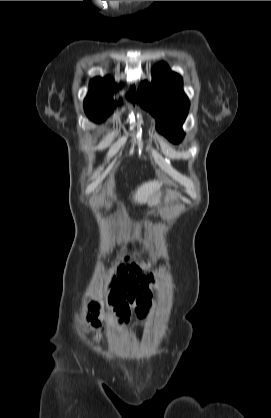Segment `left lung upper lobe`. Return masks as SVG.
I'll list each match as a JSON object with an SVG mask.
<instances>
[{"label":"left lung upper lobe","instance_id":"obj_1","mask_svg":"<svg viewBox=\"0 0 271 418\" xmlns=\"http://www.w3.org/2000/svg\"><path fill=\"white\" fill-rule=\"evenodd\" d=\"M152 74L151 83L141 84L138 100L157 119L158 131L171 142L179 143L184 137L182 124L190 106L183 92L182 78L164 62L157 64Z\"/></svg>","mask_w":271,"mask_h":418}]
</instances>
